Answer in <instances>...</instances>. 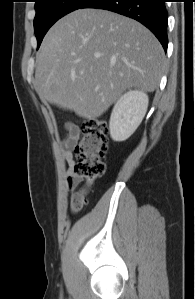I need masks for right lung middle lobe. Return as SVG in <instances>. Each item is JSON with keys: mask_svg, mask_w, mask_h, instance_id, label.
<instances>
[{"mask_svg": "<svg viewBox=\"0 0 195 299\" xmlns=\"http://www.w3.org/2000/svg\"><path fill=\"white\" fill-rule=\"evenodd\" d=\"M88 0H36L34 30L38 47L48 29L61 17L81 8Z\"/></svg>", "mask_w": 195, "mask_h": 299, "instance_id": "dd1d6c3e", "label": "right lung middle lobe"}]
</instances>
